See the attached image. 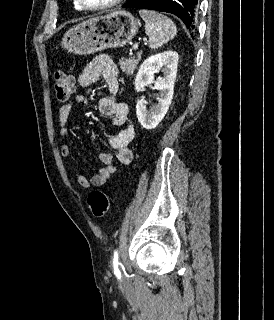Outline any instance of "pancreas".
<instances>
[{"label":"pancreas","mask_w":274,"mask_h":320,"mask_svg":"<svg viewBox=\"0 0 274 320\" xmlns=\"http://www.w3.org/2000/svg\"><path fill=\"white\" fill-rule=\"evenodd\" d=\"M140 60L141 54H137V56H130V58H121L119 66L121 70H123V72H126V74H128V76H132Z\"/></svg>","instance_id":"1"}]
</instances>
